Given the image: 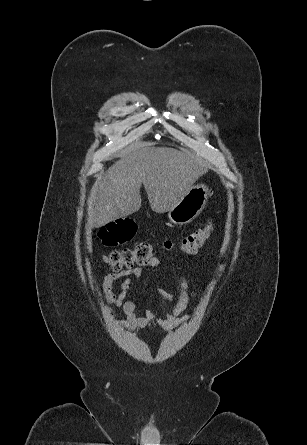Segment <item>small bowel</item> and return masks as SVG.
Returning <instances> with one entry per match:
<instances>
[{"label":"small bowel","instance_id":"obj_1","mask_svg":"<svg viewBox=\"0 0 307 445\" xmlns=\"http://www.w3.org/2000/svg\"><path fill=\"white\" fill-rule=\"evenodd\" d=\"M160 265V260L157 258H152L147 264L148 268H155ZM144 271L142 268H129L120 270L117 272H111L104 276L102 287L104 290V299L109 305V312L111 316L114 315V308H120L126 316L123 321L125 325L130 330L144 329L151 323H156L164 330H171L179 326L182 322L189 319L188 316L180 317V315L185 311L189 301L195 298V294L189 289V282L186 278L180 277V294L175 302L167 311L163 319H155V315L151 309H143V315H139L142 310L140 304L127 300L128 292L131 288L132 283L142 278ZM122 281L121 292L115 294L113 287L117 281ZM156 293L167 303L173 301V295L164 290L156 289Z\"/></svg>","mask_w":307,"mask_h":445}]
</instances>
